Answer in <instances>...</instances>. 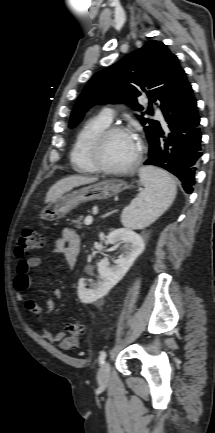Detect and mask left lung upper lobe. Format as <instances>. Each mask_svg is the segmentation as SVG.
Here are the masks:
<instances>
[{
  "mask_svg": "<svg viewBox=\"0 0 215 433\" xmlns=\"http://www.w3.org/2000/svg\"><path fill=\"white\" fill-rule=\"evenodd\" d=\"M186 78L176 55L160 41L151 40L116 64L96 73L85 86L73 109L69 127H75L93 105L126 102L136 110H143L137 97L146 94L150 100L147 114L152 115V102L165 103ZM150 147L161 127L158 121L139 117Z\"/></svg>",
  "mask_w": 215,
  "mask_h": 433,
  "instance_id": "left-lung-upper-lobe-1",
  "label": "left lung upper lobe"
}]
</instances>
